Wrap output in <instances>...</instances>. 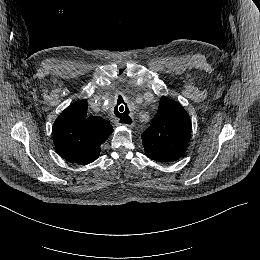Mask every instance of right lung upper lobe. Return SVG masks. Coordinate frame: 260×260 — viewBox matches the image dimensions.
<instances>
[{
	"mask_svg": "<svg viewBox=\"0 0 260 260\" xmlns=\"http://www.w3.org/2000/svg\"><path fill=\"white\" fill-rule=\"evenodd\" d=\"M87 101L66 108L53 125L56 151L65 160L88 164L99 157L101 144L113 131L111 124L98 116L87 115Z\"/></svg>",
	"mask_w": 260,
	"mask_h": 260,
	"instance_id": "obj_1",
	"label": "right lung upper lobe"
}]
</instances>
